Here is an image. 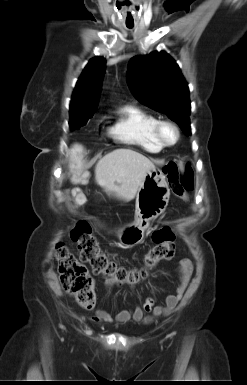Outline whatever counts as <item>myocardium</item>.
<instances>
[{
    "instance_id": "f54148a6",
    "label": "myocardium",
    "mask_w": 247,
    "mask_h": 385,
    "mask_svg": "<svg viewBox=\"0 0 247 385\" xmlns=\"http://www.w3.org/2000/svg\"><path fill=\"white\" fill-rule=\"evenodd\" d=\"M166 128L172 129L175 134V138L172 142H168L164 138V130ZM153 135L162 147H173L178 143L180 139V130L178 126L170 120H158L154 125Z\"/></svg>"
}]
</instances>
